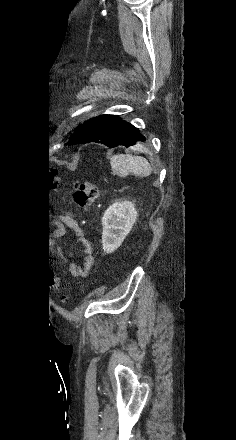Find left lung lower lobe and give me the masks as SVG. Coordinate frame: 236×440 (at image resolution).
Returning <instances> with one entry per match:
<instances>
[{"instance_id":"obj_1","label":"left lung lower lobe","mask_w":236,"mask_h":440,"mask_svg":"<svg viewBox=\"0 0 236 440\" xmlns=\"http://www.w3.org/2000/svg\"><path fill=\"white\" fill-rule=\"evenodd\" d=\"M144 141L145 137L132 124L115 115H100L81 125L67 145L97 142L114 148L119 145L129 147Z\"/></svg>"}]
</instances>
